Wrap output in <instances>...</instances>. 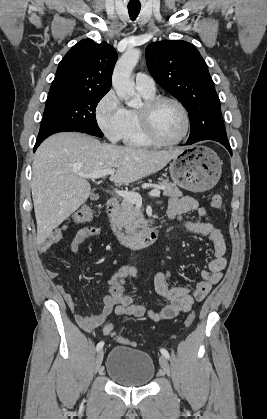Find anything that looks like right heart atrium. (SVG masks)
Wrapping results in <instances>:
<instances>
[{
	"label": "right heart atrium",
	"mask_w": 267,
	"mask_h": 419,
	"mask_svg": "<svg viewBox=\"0 0 267 419\" xmlns=\"http://www.w3.org/2000/svg\"><path fill=\"white\" fill-rule=\"evenodd\" d=\"M95 119L99 129L112 142L122 139L126 126V108L113 90H109L95 107Z\"/></svg>",
	"instance_id": "right-heart-atrium-1"
}]
</instances>
